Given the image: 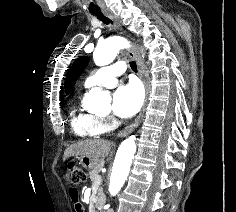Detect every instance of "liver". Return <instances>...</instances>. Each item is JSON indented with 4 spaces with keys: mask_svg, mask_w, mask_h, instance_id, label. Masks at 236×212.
<instances>
[{
    "mask_svg": "<svg viewBox=\"0 0 236 212\" xmlns=\"http://www.w3.org/2000/svg\"><path fill=\"white\" fill-rule=\"evenodd\" d=\"M112 143L104 139H87L70 145L64 152L63 160L71 156L105 158L111 151Z\"/></svg>",
    "mask_w": 236,
    "mask_h": 212,
    "instance_id": "liver-1",
    "label": "liver"
}]
</instances>
